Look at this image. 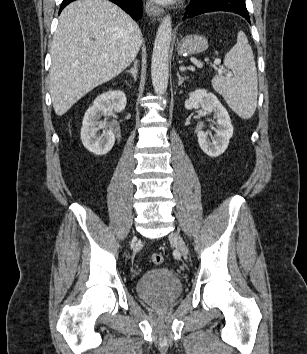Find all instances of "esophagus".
Here are the masks:
<instances>
[{"mask_svg":"<svg viewBox=\"0 0 307 354\" xmlns=\"http://www.w3.org/2000/svg\"><path fill=\"white\" fill-rule=\"evenodd\" d=\"M145 10L146 13L151 17L160 18L164 14V10L162 7L157 6L151 2H146Z\"/></svg>","mask_w":307,"mask_h":354,"instance_id":"34e87169","label":"esophagus"}]
</instances>
